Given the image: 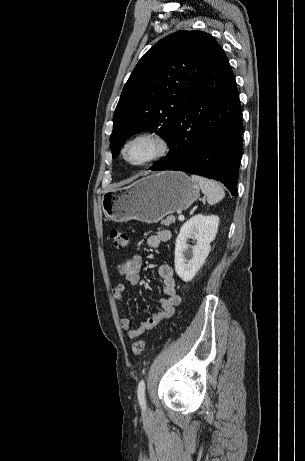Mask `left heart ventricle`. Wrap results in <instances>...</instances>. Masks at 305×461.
I'll use <instances>...</instances> for the list:
<instances>
[{"label": "left heart ventricle", "mask_w": 305, "mask_h": 461, "mask_svg": "<svg viewBox=\"0 0 305 461\" xmlns=\"http://www.w3.org/2000/svg\"><path fill=\"white\" fill-rule=\"evenodd\" d=\"M154 152V145L147 141H137L126 149V158L131 162H139Z\"/></svg>", "instance_id": "b2bd125f"}]
</instances>
